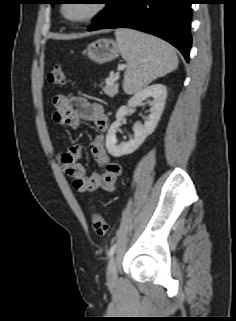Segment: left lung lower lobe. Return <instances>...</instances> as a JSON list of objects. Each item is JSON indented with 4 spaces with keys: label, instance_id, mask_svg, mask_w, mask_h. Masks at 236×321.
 <instances>
[{
    "label": "left lung lower lobe",
    "instance_id": "obj_1",
    "mask_svg": "<svg viewBox=\"0 0 236 321\" xmlns=\"http://www.w3.org/2000/svg\"><path fill=\"white\" fill-rule=\"evenodd\" d=\"M193 3L195 0H113L88 31L123 27L146 32L174 45L188 62Z\"/></svg>",
    "mask_w": 236,
    "mask_h": 321
}]
</instances>
